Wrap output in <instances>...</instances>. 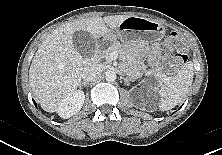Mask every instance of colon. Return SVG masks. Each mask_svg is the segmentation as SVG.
<instances>
[{"instance_id":"1","label":"colon","mask_w":222,"mask_h":155,"mask_svg":"<svg viewBox=\"0 0 222 155\" xmlns=\"http://www.w3.org/2000/svg\"><path fill=\"white\" fill-rule=\"evenodd\" d=\"M165 55L163 58V69L171 74L180 68L187 60V49L181 37L177 34L168 36L163 44Z\"/></svg>"}]
</instances>
